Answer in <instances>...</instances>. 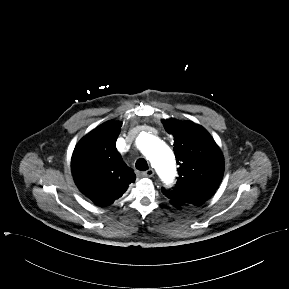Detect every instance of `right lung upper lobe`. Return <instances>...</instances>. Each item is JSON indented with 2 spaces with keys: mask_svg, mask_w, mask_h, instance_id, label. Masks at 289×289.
<instances>
[{
  "mask_svg": "<svg viewBox=\"0 0 289 289\" xmlns=\"http://www.w3.org/2000/svg\"><path fill=\"white\" fill-rule=\"evenodd\" d=\"M121 125L109 121L98 126L82 138L72 155L76 185L99 206L112 204L136 179L116 149Z\"/></svg>",
  "mask_w": 289,
  "mask_h": 289,
  "instance_id": "1",
  "label": "right lung upper lobe"
}]
</instances>
